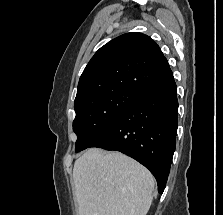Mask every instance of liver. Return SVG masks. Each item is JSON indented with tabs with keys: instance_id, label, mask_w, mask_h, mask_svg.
<instances>
[{
	"instance_id": "1",
	"label": "liver",
	"mask_w": 223,
	"mask_h": 215,
	"mask_svg": "<svg viewBox=\"0 0 223 215\" xmlns=\"http://www.w3.org/2000/svg\"><path fill=\"white\" fill-rule=\"evenodd\" d=\"M73 179L79 215H146L152 203V173L120 151L87 149Z\"/></svg>"
}]
</instances>
